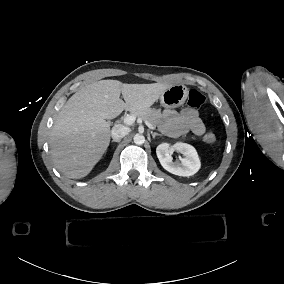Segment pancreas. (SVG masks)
<instances>
[{
  "mask_svg": "<svg viewBox=\"0 0 284 284\" xmlns=\"http://www.w3.org/2000/svg\"><path fill=\"white\" fill-rule=\"evenodd\" d=\"M131 115L141 118L144 121H149L154 128L162 123V114L160 110L154 108H144L131 111Z\"/></svg>",
  "mask_w": 284,
  "mask_h": 284,
  "instance_id": "1",
  "label": "pancreas"
}]
</instances>
